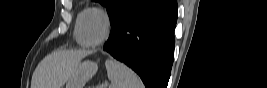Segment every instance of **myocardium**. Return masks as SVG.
<instances>
[{
	"label": "myocardium",
	"instance_id": "1",
	"mask_svg": "<svg viewBox=\"0 0 267 88\" xmlns=\"http://www.w3.org/2000/svg\"><path fill=\"white\" fill-rule=\"evenodd\" d=\"M90 14H97V15L101 16L105 22V33H104L103 37L97 42H90L86 39V36H85V32H84L85 20H86L87 16ZM110 31H111L110 18L104 10L98 9V8H91L84 13V15L82 17V21H81L80 34H81L82 40L86 46L96 47V46L102 45L108 39V37L110 35Z\"/></svg>",
	"mask_w": 267,
	"mask_h": 88
}]
</instances>
